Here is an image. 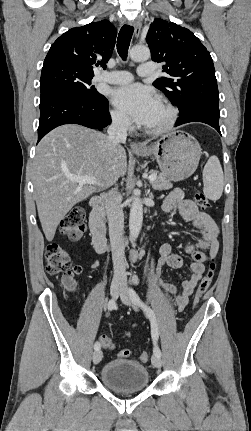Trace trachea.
Returning a JSON list of instances; mask_svg holds the SVG:
<instances>
[{"label":"trachea","instance_id":"obj_1","mask_svg":"<svg viewBox=\"0 0 251 431\" xmlns=\"http://www.w3.org/2000/svg\"><path fill=\"white\" fill-rule=\"evenodd\" d=\"M134 32V27L124 25L119 32L117 40V51L123 60H126L130 41Z\"/></svg>","mask_w":251,"mask_h":431}]
</instances>
